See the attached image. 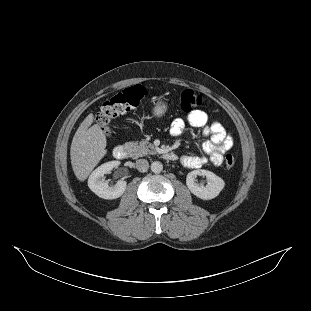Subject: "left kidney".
<instances>
[{
	"label": "left kidney",
	"instance_id": "1",
	"mask_svg": "<svg viewBox=\"0 0 311 311\" xmlns=\"http://www.w3.org/2000/svg\"><path fill=\"white\" fill-rule=\"evenodd\" d=\"M198 175L206 177V186L195 182V178ZM186 185L188 189L197 197L203 200H210L219 195L225 186V182L222 178L211 171L198 169L187 174Z\"/></svg>",
	"mask_w": 311,
	"mask_h": 311
}]
</instances>
